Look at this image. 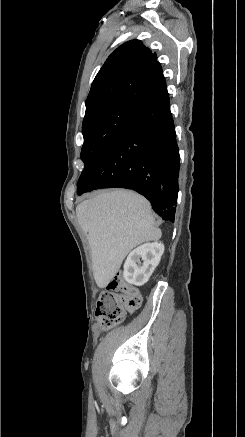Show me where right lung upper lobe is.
<instances>
[{
  "label": "right lung upper lobe",
  "instance_id": "obj_1",
  "mask_svg": "<svg viewBox=\"0 0 245 437\" xmlns=\"http://www.w3.org/2000/svg\"><path fill=\"white\" fill-rule=\"evenodd\" d=\"M168 97L156 53L135 39L107 58L91 85L85 114L106 103L126 102L142 108Z\"/></svg>",
  "mask_w": 245,
  "mask_h": 437
}]
</instances>
